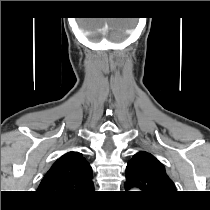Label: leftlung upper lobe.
I'll list each match as a JSON object with an SVG mask.
<instances>
[{
    "instance_id": "obj_1",
    "label": "left lung upper lobe",
    "mask_w": 210,
    "mask_h": 210,
    "mask_svg": "<svg viewBox=\"0 0 210 210\" xmlns=\"http://www.w3.org/2000/svg\"><path fill=\"white\" fill-rule=\"evenodd\" d=\"M126 187H139L150 196H165L176 192L173 181L166 174L164 165L152 154L137 152L127 164Z\"/></svg>"
}]
</instances>
